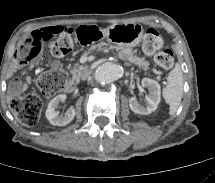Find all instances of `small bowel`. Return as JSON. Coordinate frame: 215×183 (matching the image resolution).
<instances>
[{
    "mask_svg": "<svg viewBox=\"0 0 215 183\" xmlns=\"http://www.w3.org/2000/svg\"><path fill=\"white\" fill-rule=\"evenodd\" d=\"M63 30H68V27L66 26H46L42 28H38L35 31L31 32L24 42H28L29 46L30 43L35 41L36 39H39L41 42L47 41L46 36L49 35L50 37L54 36L56 33L63 31ZM23 42V43H24ZM31 47V46H30ZM21 50V49H20ZM19 52L17 53V59L13 62V64L9 67L8 69V75H12L15 72H17L19 69L24 67L26 64H28V58L25 57H19ZM36 60H32L31 63H35ZM59 63L57 61H51V66L52 67H57ZM30 83V79H26L25 81H15L12 83L10 87V95L15 96L19 94L21 91L25 90L27 86Z\"/></svg>",
    "mask_w": 215,
    "mask_h": 183,
    "instance_id": "c3829d8e",
    "label": "small bowel"
}]
</instances>
